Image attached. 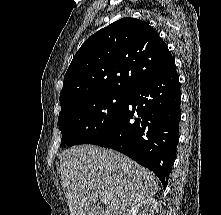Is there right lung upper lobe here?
<instances>
[{"label": "right lung upper lobe", "instance_id": "right-lung-upper-lobe-1", "mask_svg": "<svg viewBox=\"0 0 221 215\" xmlns=\"http://www.w3.org/2000/svg\"><path fill=\"white\" fill-rule=\"evenodd\" d=\"M173 60L145 21L122 18L89 37L75 54L60 93L61 109L107 93H125Z\"/></svg>", "mask_w": 221, "mask_h": 215}]
</instances>
